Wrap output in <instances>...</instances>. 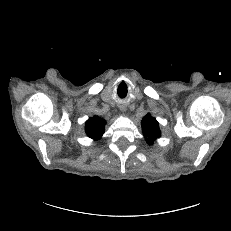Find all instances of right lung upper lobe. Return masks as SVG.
<instances>
[{
    "label": "right lung upper lobe",
    "instance_id": "obj_1",
    "mask_svg": "<svg viewBox=\"0 0 231 231\" xmlns=\"http://www.w3.org/2000/svg\"><path fill=\"white\" fill-rule=\"evenodd\" d=\"M106 121L95 116L93 118H89L85 123V130L88 137L98 140L104 133V126Z\"/></svg>",
    "mask_w": 231,
    "mask_h": 231
}]
</instances>
